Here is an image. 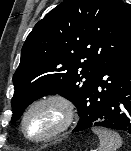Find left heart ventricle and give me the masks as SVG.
I'll list each match as a JSON object with an SVG mask.
<instances>
[{
    "instance_id": "obj_1",
    "label": "left heart ventricle",
    "mask_w": 131,
    "mask_h": 151,
    "mask_svg": "<svg viewBox=\"0 0 131 151\" xmlns=\"http://www.w3.org/2000/svg\"><path fill=\"white\" fill-rule=\"evenodd\" d=\"M61 121V112L54 106L33 110L26 121V131L32 137H41L55 129Z\"/></svg>"
}]
</instances>
